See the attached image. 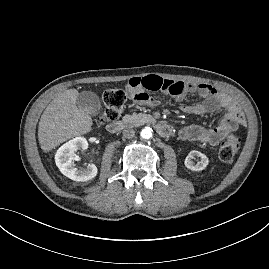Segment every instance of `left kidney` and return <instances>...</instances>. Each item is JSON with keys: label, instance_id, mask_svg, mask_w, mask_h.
Listing matches in <instances>:
<instances>
[{"label": "left kidney", "instance_id": "5707ae66", "mask_svg": "<svg viewBox=\"0 0 269 269\" xmlns=\"http://www.w3.org/2000/svg\"><path fill=\"white\" fill-rule=\"evenodd\" d=\"M196 157L200 158V160L197 163L193 161ZM208 163H209L208 157L205 154L196 150L190 151L184 161L186 168H188L191 171H201L206 168Z\"/></svg>", "mask_w": 269, "mask_h": 269}]
</instances>
